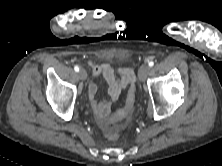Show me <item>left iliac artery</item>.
Returning a JSON list of instances; mask_svg holds the SVG:
<instances>
[{
	"mask_svg": "<svg viewBox=\"0 0 222 166\" xmlns=\"http://www.w3.org/2000/svg\"><path fill=\"white\" fill-rule=\"evenodd\" d=\"M148 65H149V67H152V66L154 65V61H150V62L148 63Z\"/></svg>",
	"mask_w": 222,
	"mask_h": 166,
	"instance_id": "left-iliac-artery-1",
	"label": "left iliac artery"
}]
</instances>
